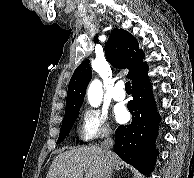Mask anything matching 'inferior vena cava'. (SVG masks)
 <instances>
[{
	"mask_svg": "<svg viewBox=\"0 0 194 178\" xmlns=\"http://www.w3.org/2000/svg\"><path fill=\"white\" fill-rule=\"evenodd\" d=\"M111 132H107L106 133V139L103 141V143L101 144V149H102V153L103 156L105 158V166H104V172L102 175V178H112V164L111 161L109 159V156L111 154V148L113 146V139L110 136Z\"/></svg>",
	"mask_w": 194,
	"mask_h": 178,
	"instance_id": "obj_1",
	"label": "inferior vena cava"
}]
</instances>
